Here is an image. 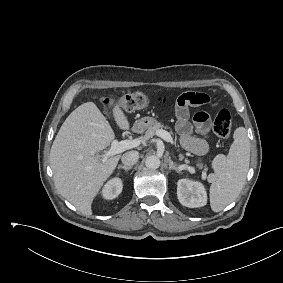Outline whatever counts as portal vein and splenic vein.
Segmentation results:
<instances>
[{
  "label": "portal vein and splenic vein",
  "mask_w": 283,
  "mask_h": 283,
  "mask_svg": "<svg viewBox=\"0 0 283 283\" xmlns=\"http://www.w3.org/2000/svg\"><path fill=\"white\" fill-rule=\"evenodd\" d=\"M156 134H157V136L164 139L166 142H168L170 144L173 143V139H172L169 132L161 129V130H158ZM141 142L142 141L139 140V139L123 140V141L114 140L111 144L110 149L107 152H105L103 155H101V157L105 161L107 158H109L111 156H114L116 154L124 152L125 150L139 146L141 144Z\"/></svg>",
  "instance_id": "obj_1"
}]
</instances>
